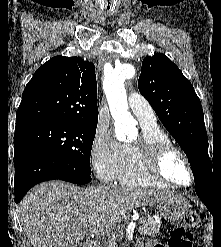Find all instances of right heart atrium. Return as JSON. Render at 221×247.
<instances>
[{"label":"right heart atrium","mask_w":221,"mask_h":247,"mask_svg":"<svg viewBox=\"0 0 221 247\" xmlns=\"http://www.w3.org/2000/svg\"><path fill=\"white\" fill-rule=\"evenodd\" d=\"M121 154L122 144L110 131L99 127L90 146V162L100 180L112 182L117 179Z\"/></svg>","instance_id":"d8ad5b80"}]
</instances>
